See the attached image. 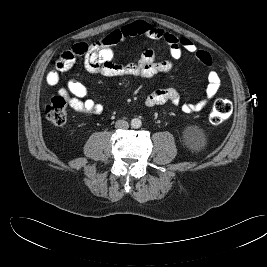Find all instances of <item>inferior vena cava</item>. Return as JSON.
<instances>
[{"label": "inferior vena cava", "mask_w": 267, "mask_h": 267, "mask_svg": "<svg viewBox=\"0 0 267 267\" xmlns=\"http://www.w3.org/2000/svg\"><path fill=\"white\" fill-rule=\"evenodd\" d=\"M115 127L118 128V129H128L129 128V124L125 120H118L115 123Z\"/></svg>", "instance_id": "inferior-vena-cava-1"}]
</instances>
